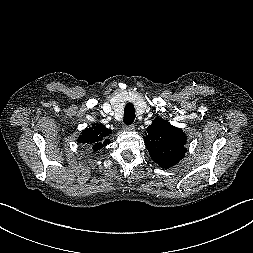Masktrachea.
<instances>
[{
	"label": "trachea",
	"mask_w": 253,
	"mask_h": 253,
	"mask_svg": "<svg viewBox=\"0 0 253 253\" xmlns=\"http://www.w3.org/2000/svg\"><path fill=\"white\" fill-rule=\"evenodd\" d=\"M135 120V108L132 103H127L124 108V123L126 125H131Z\"/></svg>",
	"instance_id": "obj_1"
}]
</instances>
